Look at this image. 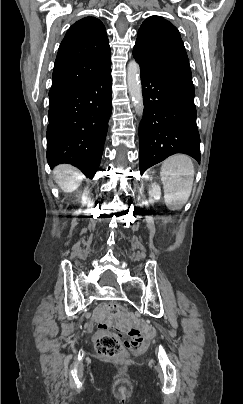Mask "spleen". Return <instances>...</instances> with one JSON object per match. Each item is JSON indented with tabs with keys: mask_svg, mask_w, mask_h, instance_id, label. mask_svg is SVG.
<instances>
[{
	"mask_svg": "<svg viewBox=\"0 0 243 404\" xmlns=\"http://www.w3.org/2000/svg\"><path fill=\"white\" fill-rule=\"evenodd\" d=\"M160 174L165 204L169 210H177L190 198L194 180L193 162L184 154L170 156L163 162Z\"/></svg>",
	"mask_w": 243,
	"mask_h": 404,
	"instance_id": "obj_1",
	"label": "spleen"
}]
</instances>
